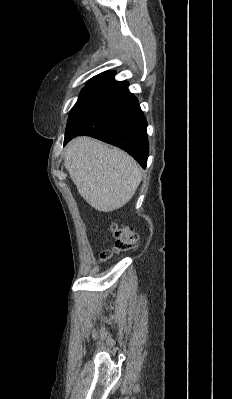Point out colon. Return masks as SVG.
Listing matches in <instances>:
<instances>
[{
    "instance_id": "1",
    "label": "colon",
    "mask_w": 232,
    "mask_h": 399,
    "mask_svg": "<svg viewBox=\"0 0 232 399\" xmlns=\"http://www.w3.org/2000/svg\"><path fill=\"white\" fill-rule=\"evenodd\" d=\"M98 219H103L102 211L98 212ZM108 230H113V225H108ZM115 249H120V253H125V249L136 250L137 233H134V230L121 229V225L117 224ZM101 257L109 258V253L101 252Z\"/></svg>"
}]
</instances>
